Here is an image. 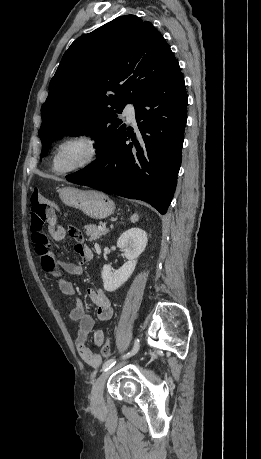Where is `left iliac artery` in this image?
<instances>
[{
  "label": "left iliac artery",
  "instance_id": "1",
  "mask_svg": "<svg viewBox=\"0 0 261 459\" xmlns=\"http://www.w3.org/2000/svg\"><path fill=\"white\" fill-rule=\"evenodd\" d=\"M139 339H136L135 340V343H134V347L133 349L131 350L130 353H128V355H134L138 349H139ZM116 363V360L114 358L112 359H109L107 360L104 364H103V367H102V370L101 371H107L109 368H111L112 366H114Z\"/></svg>",
  "mask_w": 261,
  "mask_h": 459
}]
</instances>
